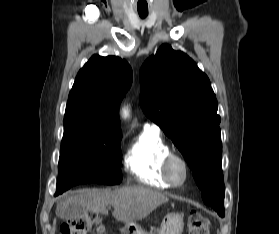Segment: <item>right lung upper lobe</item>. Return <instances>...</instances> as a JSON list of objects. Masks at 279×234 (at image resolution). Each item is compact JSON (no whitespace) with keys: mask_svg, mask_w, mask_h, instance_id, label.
<instances>
[{"mask_svg":"<svg viewBox=\"0 0 279 234\" xmlns=\"http://www.w3.org/2000/svg\"><path fill=\"white\" fill-rule=\"evenodd\" d=\"M132 80L124 59L93 55L76 76L64 119L86 120L98 132L121 134L119 104Z\"/></svg>","mask_w":279,"mask_h":234,"instance_id":"obj_1","label":"right lung upper lobe"}]
</instances>
